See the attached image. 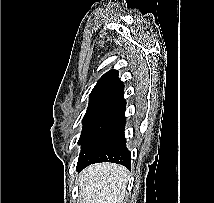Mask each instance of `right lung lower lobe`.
I'll return each instance as SVG.
<instances>
[{
  "label": "right lung lower lobe",
  "mask_w": 214,
  "mask_h": 203,
  "mask_svg": "<svg viewBox=\"0 0 214 203\" xmlns=\"http://www.w3.org/2000/svg\"><path fill=\"white\" fill-rule=\"evenodd\" d=\"M124 96L114 103L96 121L81 142V153L77 169L99 162H113L131 168V153L125 145Z\"/></svg>",
  "instance_id": "right-lung-lower-lobe-1"
}]
</instances>
